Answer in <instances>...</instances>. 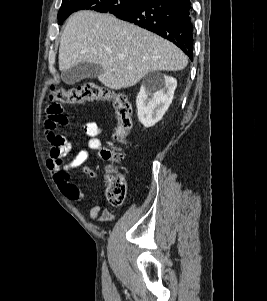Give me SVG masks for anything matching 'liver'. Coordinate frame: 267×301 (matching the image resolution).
Segmentation results:
<instances>
[{
    "label": "liver",
    "mask_w": 267,
    "mask_h": 301,
    "mask_svg": "<svg viewBox=\"0 0 267 301\" xmlns=\"http://www.w3.org/2000/svg\"><path fill=\"white\" fill-rule=\"evenodd\" d=\"M58 59L61 71L80 62L102 66L98 80L113 90L134 86L149 72L180 71L188 64L187 56L173 43L93 11H79L69 18Z\"/></svg>",
    "instance_id": "obj_1"
}]
</instances>
